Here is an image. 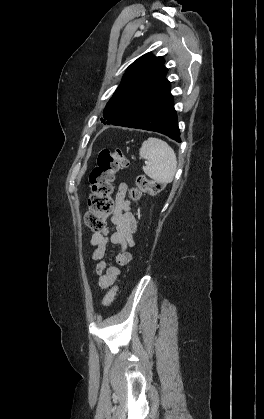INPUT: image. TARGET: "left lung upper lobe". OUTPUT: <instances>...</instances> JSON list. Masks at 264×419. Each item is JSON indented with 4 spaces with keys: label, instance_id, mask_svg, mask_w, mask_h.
<instances>
[{
    "label": "left lung upper lobe",
    "instance_id": "5c2ea615",
    "mask_svg": "<svg viewBox=\"0 0 264 419\" xmlns=\"http://www.w3.org/2000/svg\"><path fill=\"white\" fill-rule=\"evenodd\" d=\"M166 74L163 57H154L147 53L138 58L128 67L122 82L107 103L103 112L104 119L126 112L146 88L166 81Z\"/></svg>",
    "mask_w": 264,
    "mask_h": 419
}]
</instances>
